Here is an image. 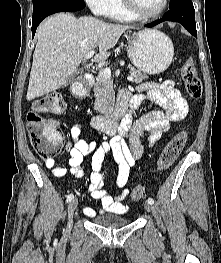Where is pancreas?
<instances>
[{
  "label": "pancreas",
  "mask_w": 221,
  "mask_h": 263,
  "mask_svg": "<svg viewBox=\"0 0 221 263\" xmlns=\"http://www.w3.org/2000/svg\"><path fill=\"white\" fill-rule=\"evenodd\" d=\"M131 75L133 76V82L136 84L148 79V76L141 71L130 66ZM95 103L94 110L101 114H108L113 110L115 103V95L113 90L112 80L110 78H104L100 73L96 77L94 83Z\"/></svg>",
  "instance_id": "pancreas-1"
}]
</instances>
